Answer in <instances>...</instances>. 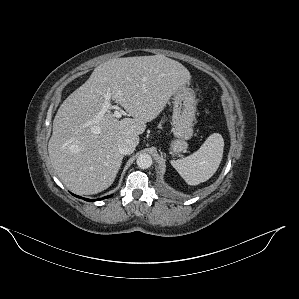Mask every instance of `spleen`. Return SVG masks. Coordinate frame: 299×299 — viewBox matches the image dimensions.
I'll return each mask as SVG.
<instances>
[{
  "label": "spleen",
  "mask_w": 299,
  "mask_h": 299,
  "mask_svg": "<svg viewBox=\"0 0 299 299\" xmlns=\"http://www.w3.org/2000/svg\"><path fill=\"white\" fill-rule=\"evenodd\" d=\"M224 140L221 134H211L193 154L171 164L188 185L207 181L217 171L223 157Z\"/></svg>",
  "instance_id": "3e777b00"
}]
</instances>
